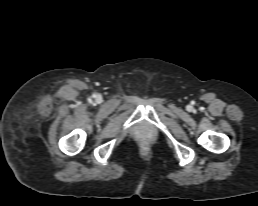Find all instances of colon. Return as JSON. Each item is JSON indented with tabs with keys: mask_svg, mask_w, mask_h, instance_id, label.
I'll return each mask as SVG.
<instances>
[{
	"mask_svg": "<svg viewBox=\"0 0 258 206\" xmlns=\"http://www.w3.org/2000/svg\"><path fill=\"white\" fill-rule=\"evenodd\" d=\"M141 147H142L143 149H147V148H148V143H147L146 141H143V142L141 143Z\"/></svg>",
	"mask_w": 258,
	"mask_h": 206,
	"instance_id": "colon-1",
	"label": "colon"
}]
</instances>
